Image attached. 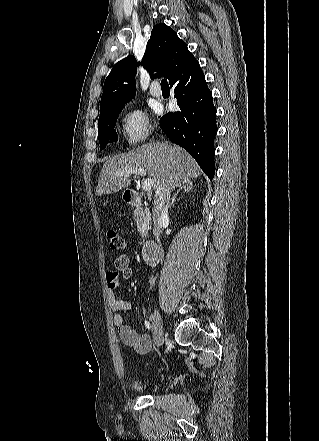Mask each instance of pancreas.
<instances>
[{
    "label": "pancreas",
    "mask_w": 319,
    "mask_h": 441,
    "mask_svg": "<svg viewBox=\"0 0 319 441\" xmlns=\"http://www.w3.org/2000/svg\"><path fill=\"white\" fill-rule=\"evenodd\" d=\"M134 220L137 224L138 231L142 238H146L148 230L151 227V214L147 207H138L134 211Z\"/></svg>",
    "instance_id": "cf45deb5"
}]
</instances>
